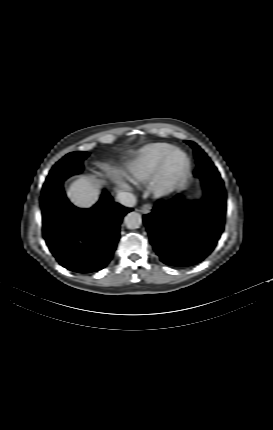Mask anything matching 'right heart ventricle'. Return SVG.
<instances>
[{"instance_id": "1", "label": "right heart ventricle", "mask_w": 273, "mask_h": 430, "mask_svg": "<svg viewBox=\"0 0 273 430\" xmlns=\"http://www.w3.org/2000/svg\"><path fill=\"white\" fill-rule=\"evenodd\" d=\"M173 146L169 143H151L143 147L129 165V174L133 181L144 182L156 172L165 154Z\"/></svg>"}]
</instances>
